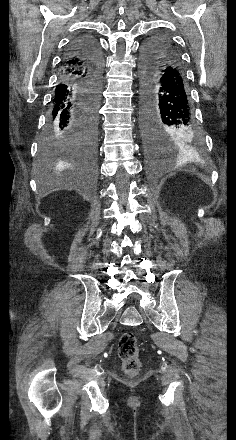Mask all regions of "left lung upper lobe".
<instances>
[{
	"label": "left lung upper lobe",
	"mask_w": 236,
	"mask_h": 440,
	"mask_svg": "<svg viewBox=\"0 0 236 440\" xmlns=\"http://www.w3.org/2000/svg\"><path fill=\"white\" fill-rule=\"evenodd\" d=\"M164 54L178 55V52L168 37L164 35H154L144 44L141 63L145 61H158Z\"/></svg>",
	"instance_id": "5c2ea615"
}]
</instances>
